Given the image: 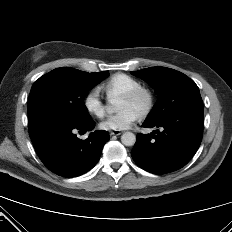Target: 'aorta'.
<instances>
[{
	"mask_svg": "<svg viewBox=\"0 0 232 232\" xmlns=\"http://www.w3.org/2000/svg\"><path fill=\"white\" fill-rule=\"evenodd\" d=\"M108 112H114L116 108L114 106H108L106 109ZM121 142L125 146H133L136 142V136L132 132H125L121 136Z\"/></svg>",
	"mask_w": 232,
	"mask_h": 232,
	"instance_id": "aorta-1",
	"label": "aorta"
}]
</instances>
